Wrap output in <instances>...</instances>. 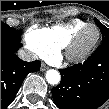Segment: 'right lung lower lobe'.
<instances>
[{
    "label": "right lung lower lobe",
    "mask_w": 109,
    "mask_h": 109,
    "mask_svg": "<svg viewBox=\"0 0 109 109\" xmlns=\"http://www.w3.org/2000/svg\"><path fill=\"white\" fill-rule=\"evenodd\" d=\"M21 46L1 35V109L12 103L25 77L40 69V61L25 62L16 55Z\"/></svg>",
    "instance_id": "98d812e1"
}]
</instances>
